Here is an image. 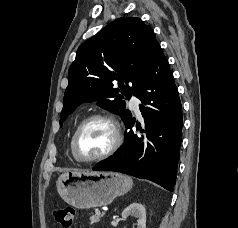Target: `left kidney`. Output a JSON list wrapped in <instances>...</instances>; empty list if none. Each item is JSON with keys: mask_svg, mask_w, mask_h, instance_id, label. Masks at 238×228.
Here are the masks:
<instances>
[{"mask_svg": "<svg viewBox=\"0 0 238 228\" xmlns=\"http://www.w3.org/2000/svg\"><path fill=\"white\" fill-rule=\"evenodd\" d=\"M129 216L137 218V228H146V210L140 203H131L122 212V218L127 219Z\"/></svg>", "mask_w": 238, "mask_h": 228, "instance_id": "left-kidney-1", "label": "left kidney"}]
</instances>
